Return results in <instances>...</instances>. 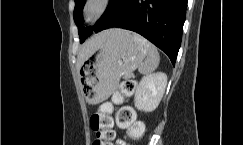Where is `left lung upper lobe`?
<instances>
[{
	"instance_id": "obj_1",
	"label": "left lung upper lobe",
	"mask_w": 243,
	"mask_h": 145,
	"mask_svg": "<svg viewBox=\"0 0 243 145\" xmlns=\"http://www.w3.org/2000/svg\"><path fill=\"white\" fill-rule=\"evenodd\" d=\"M86 0H75V8H74V13H73V18L75 21V24L78 26V33H79V38H80V43L84 42V40L91 34V28H84L81 27L83 24V19H82V9L85 4ZM123 0H110V3L108 5L107 10L105 11L106 13L112 11V13L118 8L120 3Z\"/></svg>"
}]
</instances>
